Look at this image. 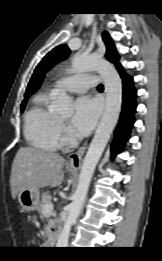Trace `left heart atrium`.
I'll use <instances>...</instances> for the list:
<instances>
[{"instance_id":"obj_1","label":"left heart atrium","mask_w":162,"mask_h":261,"mask_svg":"<svg viewBox=\"0 0 162 261\" xmlns=\"http://www.w3.org/2000/svg\"><path fill=\"white\" fill-rule=\"evenodd\" d=\"M100 112L99 103L90 96L79 97L74 104L71 120L73 129L81 135L88 134L94 127Z\"/></svg>"}]
</instances>
